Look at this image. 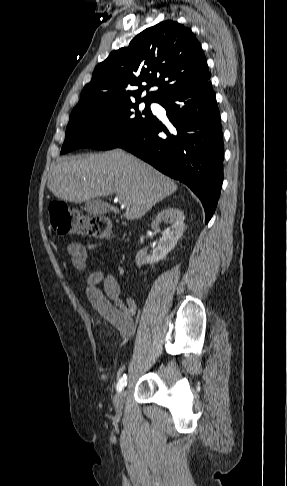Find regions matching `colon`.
Listing matches in <instances>:
<instances>
[{
	"label": "colon",
	"mask_w": 287,
	"mask_h": 486,
	"mask_svg": "<svg viewBox=\"0 0 287 486\" xmlns=\"http://www.w3.org/2000/svg\"><path fill=\"white\" fill-rule=\"evenodd\" d=\"M49 222L52 229L61 235L79 234L106 238L111 233V224L106 217L81 216L60 201L52 202L49 205Z\"/></svg>",
	"instance_id": "obj_1"
}]
</instances>
